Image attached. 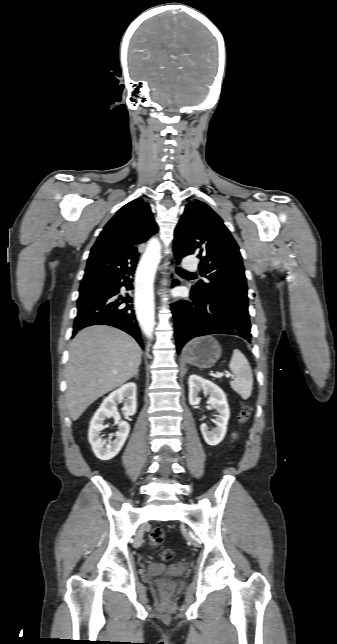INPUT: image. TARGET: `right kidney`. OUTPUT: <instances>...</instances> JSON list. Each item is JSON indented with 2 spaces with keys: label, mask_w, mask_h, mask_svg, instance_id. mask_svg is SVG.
I'll return each instance as SVG.
<instances>
[{
  "label": "right kidney",
  "mask_w": 337,
  "mask_h": 644,
  "mask_svg": "<svg viewBox=\"0 0 337 644\" xmlns=\"http://www.w3.org/2000/svg\"><path fill=\"white\" fill-rule=\"evenodd\" d=\"M136 391L137 386L135 383L130 382L121 386L106 397L99 409L95 412L90 422L88 440L97 458L110 460L122 449L130 432V425L125 421H120V415L117 412L116 406L118 403L125 401L123 408L124 414L127 416L134 415L137 409ZM111 417L115 419L119 427L115 433L116 439L105 445L100 433L107 427L104 425V421Z\"/></svg>",
  "instance_id": "1"
}]
</instances>
